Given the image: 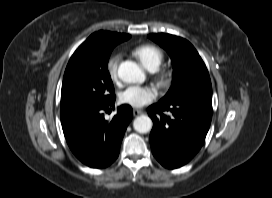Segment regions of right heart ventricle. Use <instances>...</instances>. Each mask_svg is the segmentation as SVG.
<instances>
[{
	"instance_id": "right-heart-ventricle-1",
	"label": "right heart ventricle",
	"mask_w": 272,
	"mask_h": 198,
	"mask_svg": "<svg viewBox=\"0 0 272 198\" xmlns=\"http://www.w3.org/2000/svg\"><path fill=\"white\" fill-rule=\"evenodd\" d=\"M133 55L142 63L144 67L155 71L163 60V52L154 45L144 44L133 49Z\"/></svg>"
}]
</instances>
